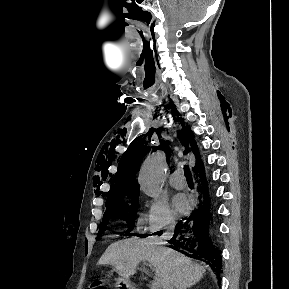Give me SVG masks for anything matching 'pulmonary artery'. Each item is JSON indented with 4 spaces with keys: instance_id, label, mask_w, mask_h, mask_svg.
Wrapping results in <instances>:
<instances>
[{
    "instance_id": "pulmonary-artery-1",
    "label": "pulmonary artery",
    "mask_w": 289,
    "mask_h": 289,
    "mask_svg": "<svg viewBox=\"0 0 289 289\" xmlns=\"http://www.w3.org/2000/svg\"><path fill=\"white\" fill-rule=\"evenodd\" d=\"M169 183L176 189H183L186 186V181L180 171H175L169 178Z\"/></svg>"
}]
</instances>
